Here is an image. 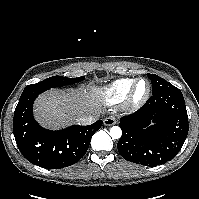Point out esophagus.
<instances>
[{
    "instance_id": "34e87169",
    "label": "esophagus",
    "mask_w": 199,
    "mask_h": 199,
    "mask_svg": "<svg viewBox=\"0 0 199 199\" xmlns=\"http://www.w3.org/2000/svg\"><path fill=\"white\" fill-rule=\"evenodd\" d=\"M117 123V120L114 116H108L104 119V125L105 126H112Z\"/></svg>"
}]
</instances>
